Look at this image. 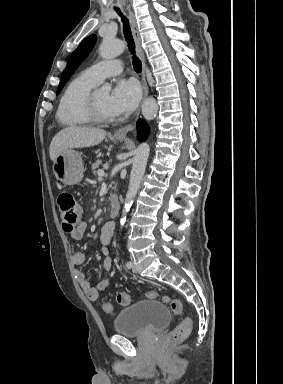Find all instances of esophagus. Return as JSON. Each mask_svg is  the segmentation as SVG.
<instances>
[{
  "label": "esophagus",
  "mask_w": 283,
  "mask_h": 384,
  "mask_svg": "<svg viewBox=\"0 0 283 384\" xmlns=\"http://www.w3.org/2000/svg\"><path fill=\"white\" fill-rule=\"evenodd\" d=\"M129 17H130V21H131V27H132L133 38L135 41L136 51H137V54H138V56H139V58L143 64L142 78H141L142 87H143V95H142V101H143L148 95V85L146 82V74H145L146 62H145L144 53H143V50L141 47V37H140V33H139V28H138L135 16L131 10H129ZM140 108H141V105L138 108V111L136 114V119L138 118V116L140 114ZM133 129H134L133 123L130 125H125L124 127H121L120 129L116 130V132L114 133V136L126 137L127 133Z\"/></svg>",
  "instance_id": "obj_1"
}]
</instances>
